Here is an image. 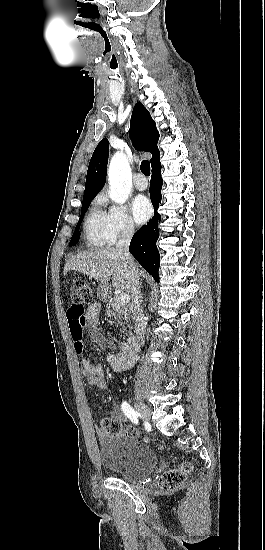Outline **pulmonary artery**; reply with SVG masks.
Segmentation results:
<instances>
[{
	"mask_svg": "<svg viewBox=\"0 0 265 550\" xmlns=\"http://www.w3.org/2000/svg\"><path fill=\"white\" fill-rule=\"evenodd\" d=\"M134 186L139 191H143L147 188L148 182L142 173L136 176L134 180Z\"/></svg>",
	"mask_w": 265,
	"mask_h": 550,
	"instance_id": "e3ab8cb5",
	"label": "pulmonary artery"
}]
</instances>
